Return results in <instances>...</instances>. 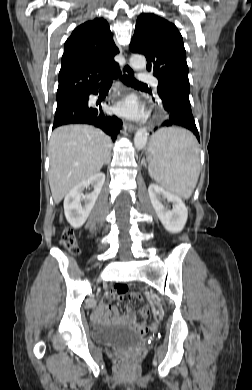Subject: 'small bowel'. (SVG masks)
Wrapping results in <instances>:
<instances>
[{"instance_id": "small-bowel-1", "label": "small bowel", "mask_w": 252, "mask_h": 390, "mask_svg": "<svg viewBox=\"0 0 252 390\" xmlns=\"http://www.w3.org/2000/svg\"><path fill=\"white\" fill-rule=\"evenodd\" d=\"M109 299L117 297L119 300L124 299V294H118L115 291H110L107 294ZM141 321L137 320L136 314L132 311L131 306L127 305L126 313L122 316L118 313V308L115 306H108L106 304H100L97 310L93 312L92 319L95 322H112L121 323L127 325L132 330L138 333H146L149 329L148 317L149 308L144 305L139 311Z\"/></svg>"}]
</instances>
